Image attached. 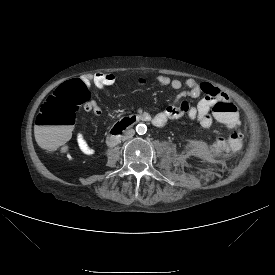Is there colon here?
<instances>
[{
    "label": "colon",
    "instance_id": "5ec220e1",
    "mask_svg": "<svg viewBox=\"0 0 275 275\" xmlns=\"http://www.w3.org/2000/svg\"><path fill=\"white\" fill-rule=\"evenodd\" d=\"M139 87L149 84L146 74L136 77ZM89 100V90L82 80H72L59 85L41 106L36 118V137L46 150H53L63 145L75 124L77 111ZM216 119L225 129H235L242 123V114L229 100L216 102L214 108Z\"/></svg>",
    "mask_w": 275,
    "mask_h": 275
}]
</instances>
